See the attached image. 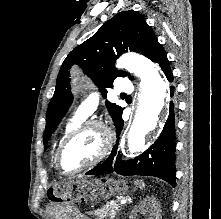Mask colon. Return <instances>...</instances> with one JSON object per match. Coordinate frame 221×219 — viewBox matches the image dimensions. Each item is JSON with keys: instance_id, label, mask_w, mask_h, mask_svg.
Listing matches in <instances>:
<instances>
[{"instance_id": "colon-1", "label": "colon", "mask_w": 221, "mask_h": 219, "mask_svg": "<svg viewBox=\"0 0 221 219\" xmlns=\"http://www.w3.org/2000/svg\"><path fill=\"white\" fill-rule=\"evenodd\" d=\"M56 198H57V201L62 202V203L69 200V199H63V195H59V192L57 193Z\"/></svg>"}]
</instances>
